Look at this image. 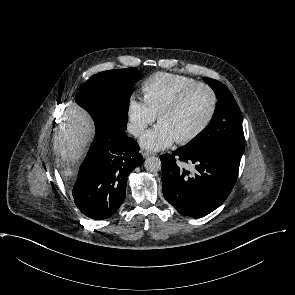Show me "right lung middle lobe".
I'll list each match as a JSON object with an SVG mask.
<instances>
[{"instance_id":"dd1d6c3e","label":"right lung middle lobe","mask_w":295,"mask_h":295,"mask_svg":"<svg viewBox=\"0 0 295 295\" xmlns=\"http://www.w3.org/2000/svg\"><path fill=\"white\" fill-rule=\"evenodd\" d=\"M137 68L108 70L92 76L76 95V102L93 118L117 130H125L132 84Z\"/></svg>"}]
</instances>
